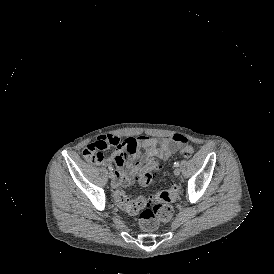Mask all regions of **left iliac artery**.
I'll use <instances>...</instances> for the list:
<instances>
[{
  "label": "left iliac artery",
  "instance_id": "obj_1",
  "mask_svg": "<svg viewBox=\"0 0 274 274\" xmlns=\"http://www.w3.org/2000/svg\"><path fill=\"white\" fill-rule=\"evenodd\" d=\"M178 166H179V162H175L174 167H178Z\"/></svg>",
  "mask_w": 274,
  "mask_h": 274
}]
</instances>
